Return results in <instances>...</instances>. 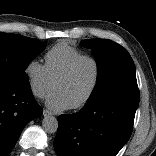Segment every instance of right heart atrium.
I'll use <instances>...</instances> for the list:
<instances>
[{"label": "right heart atrium", "instance_id": "obj_1", "mask_svg": "<svg viewBox=\"0 0 156 156\" xmlns=\"http://www.w3.org/2000/svg\"><path fill=\"white\" fill-rule=\"evenodd\" d=\"M28 86L37 98L45 97L53 88L54 82L50 79L44 64L32 59L24 69Z\"/></svg>", "mask_w": 156, "mask_h": 156}]
</instances>
